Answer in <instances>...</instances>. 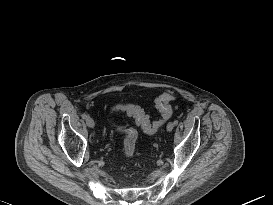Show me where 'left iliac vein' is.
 Segmentation results:
<instances>
[{
  "label": "left iliac vein",
  "instance_id": "4c4485c4",
  "mask_svg": "<svg viewBox=\"0 0 273 205\" xmlns=\"http://www.w3.org/2000/svg\"><path fill=\"white\" fill-rule=\"evenodd\" d=\"M173 128H174V123L173 122H169L168 124H167V131H172L173 130Z\"/></svg>",
  "mask_w": 273,
  "mask_h": 205
}]
</instances>
